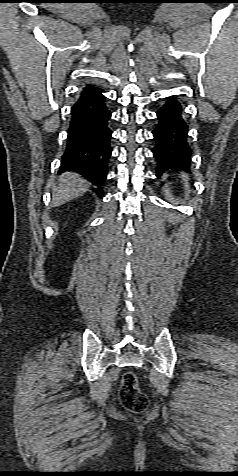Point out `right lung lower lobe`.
Listing matches in <instances>:
<instances>
[{
  "mask_svg": "<svg viewBox=\"0 0 238 476\" xmlns=\"http://www.w3.org/2000/svg\"><path fill=\"white\" fill-rule=\"evenodd\" d=\"M103 90L87 85L71 109L67 146L59 173L82 174L102 193L111 156V111Z\"/></svg>",
  "mask_w": 238,
  "mask_h": 476,
  "instance_id": "right-lung-lower-lobe-1",
  "label": "right lung lower lobe"
}]
</instances>
